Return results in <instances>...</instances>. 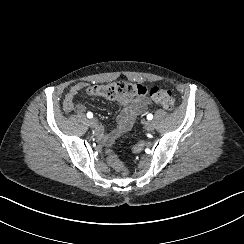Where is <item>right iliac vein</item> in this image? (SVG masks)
I'll list each match as a JSON object with an SVG mask.
<instances>
[{
    "instance_id": "1",
    "label": "right iliac vein",
    "mask_w": 244,
    "mask_h": 244,
    "mask_svg": "<svg viewBox=\"0 0 244 244\" xmlns=\"http://www.w3.org/2000/svg\"><path fill=\"white\" fill-rule=\"evenodd\" d=\"M97 124H98V121H97L96 118H91V119H90V121H89V125H90L91 127H95V126H97Z\"/></svg>"
}]
</instances>
